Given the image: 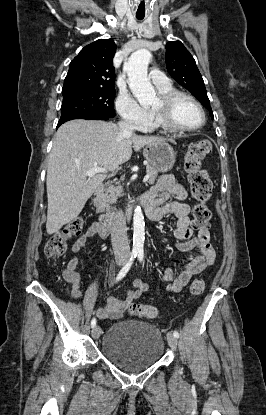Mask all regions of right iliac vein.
Returning a JSON list of instances; mask_svg holds the SVG:
<instances>
[{
	"instance_id": "obj_1",
	"label": "right iliac vein",
	"mask_w": 266,
	"mask_h": 415,
	"mask_svg": "<svg viewBox=\"0 0 266 415\" xmlns=\"http://www.w3.org/2000/svg\"><path fill=\"white\" fill-rule=\"evenodd\" d=\"M125 263L124 259H118L117 260V265L118 266H122ZM101 335V328L99 326H94L92 329V337L94 339H98Z\"/></svg>"
}]
</instances>
